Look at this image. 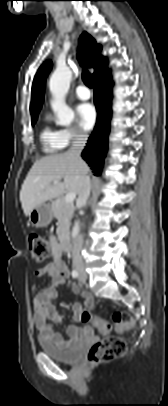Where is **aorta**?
Returning a JSON list of instances; mask_svg holds the SVG:
<instances>
[{"label":"aorta","instance_id":"762f6f07","mask_svg":"<svg viewBox=\"0 0 168 406\" xmlns=\"http://www.w3.org/2000/svg\"><path fill=\"white\" fill-rule=\"evenodd\" d=\"M72 79L71 70L65 65H59L49 80V89L52 94L51 107L57 116V123L63 126H69L74 119V112L65 102L70 82ZM79 232V223L76 222L72 236L75 237Z\"/></svg>","mask_w":168,"mask_h":406}]
</instances>
